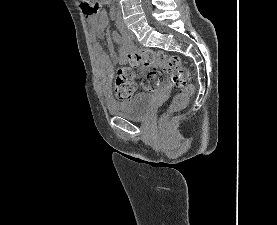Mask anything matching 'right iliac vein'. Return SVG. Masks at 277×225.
I'll return each instance as SVG.
<instances>
[{
  "instance_id": "63e3f726",
  "label": "right iliac vein",
  "mask_w": 277,
  "mask_h": 225,
  "mask_svg": "<svg viewBox=\"0 0 277 225\" xmlns=\"http://www.w3.org/2000/svg\"><path fill=\"white\" fill-rule=\"evenodd\" d=\"M123 33H124L127 37H129V36L131 35V33L127 32V31H124V30H123Z\"/></svg>"
}]
</instances>
